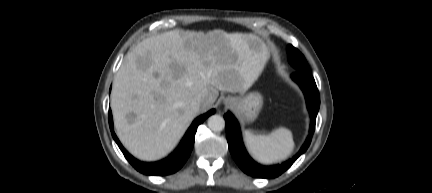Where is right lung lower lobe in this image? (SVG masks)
Returning <instances> with one entry per match:
<instances>
[{
    "mask_svg": "<svg viewBox=\"0 0 432 193\" xmlns=\"http://www.w3.org/2000/svg\"><path fill=\"white\" fill-rule=\"evenodd\" d=\"M214 112H215V110L213 109V110H210L209 112H207L206 114L201 115L200 117L196 118L193 121V123L191 124V126L189 127L186 134L184 135V137H183L182 141L180 142L179 146L177 147V149L167 158H165L161 161H158V162H154V163L140 162L137 159H135L133 156H131L123 148V146L121 145L117 136L114 133L112 113H111L110 109H109V124H110V130H111V133H112V136H113L115 142L119 146L120 150L122 151V153L124 154L126 159L131 163V165L136 170H138L139 172H141L143 174H148V175H168V174L176 172L177 170H179L184 165V163L186 162V160L188 159V157L192 151V148L194 145L195 133H196L198 125L201 124L208 116H210Z\"/></svg>",
    "mask_w": 432,
    "mask_h": 193,
    "instance_id": "1",
    "label": "right lung lower lobe"
}]
</instances>
